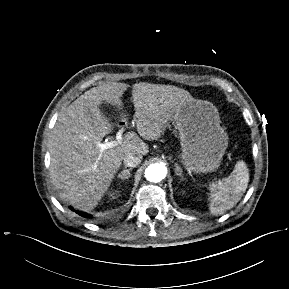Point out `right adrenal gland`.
I'll return each instance as SVG.
<instances>
[{
    "label": "right adrenal gland",
    "instance_id": "obj_1",
    "mask_svg": "<svg viewBox=\"0 0 289 289\" xmlns=\"http://www.w3.org/2000/svg\"><path fill=\"white\" fill-rule=\"evenodd\" d=\"M131 170H132V168L125 169V170L121 171V173L118 174L117 178H120L122 180L129 179V177L131 176V174H130Z\"/></svg>",
    "mask_w": 289,
    "mask_h": 289
}]
</instances>
